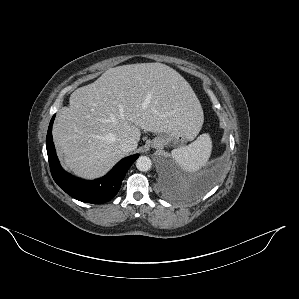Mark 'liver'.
<instances>
[{"label": "liver", "instance_id": "liver-1", "mask_svg": "<svg viewBox=\"0 0 299 299\" xmlns=\"http://www.w3.org/2000/svg\"><path fill=\"white\" fill-rule=\"evenodd\" d=\"M60 108L53 139L66 169L94 179L127 153L120 141L183 130L194 139L203 124L201 104L190 84L161 63L109 68L95 82L76 89Z\"/></svg>", "mask_w": 299, "mask_h": 299}]
</instances>
